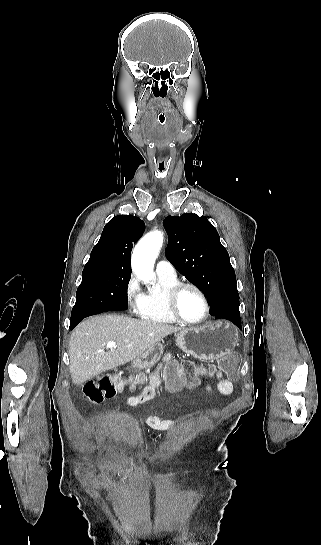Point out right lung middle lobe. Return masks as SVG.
I'll return each mask as SVG.
<instances>
[{
    "label": "right lung middle lobe",
    "instance_id": "1",
    "mask_svg": "<svg viewBox=\"0 0 321 545\" xmlns=\"http://www.w3.org/2000/svg\"><path fill=\"white\" fill-rule=\"evenodd\" d=\"M130 277L131 273H116L103 269L83 270L71 319L109 311L115 301L127 298Z\"/></svg>",
    "mask_w": 321,
    "mask_h": 545
}]
</instances>
